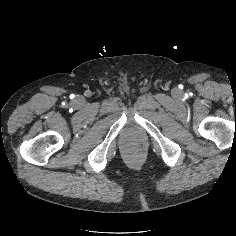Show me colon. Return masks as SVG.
Returning a JSON list of instances; mask_svg holds the SVG:
<instances>
[{
	"label": "colon",
	"mask_w": 236,
	"mask_h": 236,
	"mask_svg": "<svg viewBox=\"0 0 236 236\" xmlns=\"http://www.w3.org/2000/svg\"><path fill=\"white\" fill-rule=\"evenodd\" d=\"M130 153L132 154H138L139 153V149L137 147H131L129 149Z\"/></svg>",
	"instance_id": "1"
}]
</instances>
